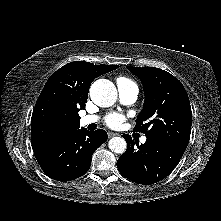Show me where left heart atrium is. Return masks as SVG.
I'll use <instances>...</instances> for the list:
<instances>
[{"mask_svg": "<svg viewBox=\"0 0 221 221\" xmlns=\"http://www.w3.org/2000/svg\"><path fill=\"white\" fill-rule=\"evenodd\" d=\"M124 120H125V117L123 115L118 114V113H112L106 117L105 123L110 128L117 129L122 125Z\"/></svg>", "mask_w": 221, "mask_h": 221, "instance_id": "obj_1", "label": "left heart atrium"}]
</instances>
